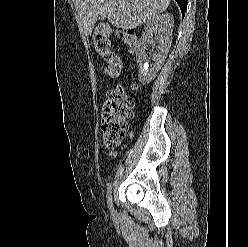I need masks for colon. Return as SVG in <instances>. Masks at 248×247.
Segmentation results:
<instances>
[{"label":"colon","mask_w":248,"mask_h":247,"mask_svg":"<svg viewBox=\"0 0 248 247\" xmlns=\"http://www.w3.org/2000/svg\"><path fill=\"white\" fill-rule=\"evenodd\" d=\"M112 31V28L106 24L99 25L92 34V42L95 51L105 61V73L110 77H117L121 73L122 62L110 48L109 36ZM118 34L128 49L133 51L137 44L135 34L127 31H119ZM132 109L133 101L123 86H118L109 93L101 117V134L107 148L115 149L121 145L133 117Z\"/></svg>","instance_id":"obj_1"}]
</instances>
